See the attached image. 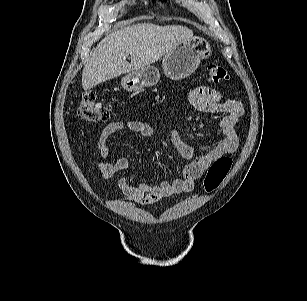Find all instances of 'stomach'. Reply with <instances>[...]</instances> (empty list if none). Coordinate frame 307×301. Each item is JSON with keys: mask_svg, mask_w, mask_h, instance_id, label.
I'll return each mask as SVG.
<instances>
[{"mask_svg": "<svg viewBox=\"0 0 307 301\" xmlns=\"http://www.w3.org/2000/svg\"><path fill=\"white\" fill-rule=\"evenodd\" d=\"M210 53V46L201 37H191L180 41L164 55L162 60L163 71L172 80L185 79L198 68L203 59L210 56ZM159 80L158 69L149 65L126 74L121 79V86L124 90L133 92L143 87L154 86Z\"/></svg>", "mask_w": 307, "mask_h": 301, "instance_id": "stomach-1", "label": "stomach"}]
</instances>
